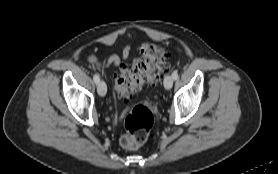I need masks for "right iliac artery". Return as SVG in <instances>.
Instances as JSON below:
<instances>
[{"mask_svg":"<svg viewBox=\"0 0 278 174\" xmlns=\"http://www.w3.org/2000/svg\"><path fill=\"white\" fill-rule=\"evenodd\" d=\"M93 79H94V82L96 84H98L100 82V76L99 74L95 73L94 76H93Z\"/></svg>","mask_w":278,"mask_h":174,"instance_id":"1","label":"right iliac artery"}]
</instances>
